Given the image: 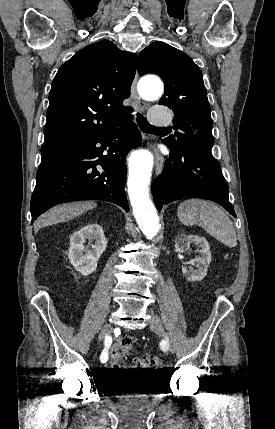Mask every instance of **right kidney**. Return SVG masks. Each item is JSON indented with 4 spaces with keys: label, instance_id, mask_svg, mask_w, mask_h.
Returning <instances> with one entry per match:
<instances>
[{
    "label": "right kidney",
    "instance_id": "obj_1",
    "mask_svg": "<svg viewBox=\"0 0 275 429\" xmlns=\"http://www.w3.org/2000/svg\"><path fill=\"white\" fill-rule=\"evenodd\" d=\"M106 247L103 228L99 224H87L70 236L68 258L76 271L88 276L95 271Z\"/></svg>",
    "mask_w": 275,
    "mask_h": 429
}]
</instances>
